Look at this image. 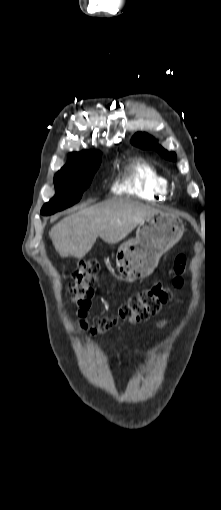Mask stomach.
Segmentation results:
<instances>
[{"label": "stomach", "instance_id": "1", "mask_svg": "<svg viewBox=\"0 0 221 510\" xmlns=\"http://www.w3.org/2000/svg\"><path fill=\"white\" fill-rule=\"evenodd\" d=\"M184 225L177 215L160 211L139 224L136 237L122 243L116 254L117 269L127 281L148 277L160 257L182 237Z\"/></svg>", "mask_w": 221, "mask_h": 510}]
</instances>
